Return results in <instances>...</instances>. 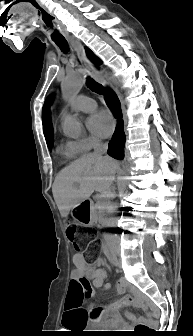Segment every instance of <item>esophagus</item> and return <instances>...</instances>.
Segmentation results:
<instances>
[{
  "instance_id": "esophagus-1",
  "label": "esophagus",
  "mask_w": 193,
  "mask_h": 336,
  "mask_svg": "<svg viewBox=\"0 0 193 336\" xmlns=\"http://www.w3.org/2000/svg\"><path fill=\"white\" fill-rule=\"evenodd\" d=\"M71 44L77 53V56L81 63L82 68L85 69L89 73V75H91L100 84L106 87L107 86L106 81L100 77V72L96 69V67L92 64V62L87 58L85 49L82 43L80 42V40L73 39L71 40Z\"/></svg>"
}]
</instances>
